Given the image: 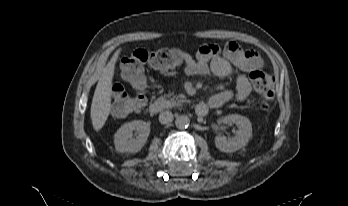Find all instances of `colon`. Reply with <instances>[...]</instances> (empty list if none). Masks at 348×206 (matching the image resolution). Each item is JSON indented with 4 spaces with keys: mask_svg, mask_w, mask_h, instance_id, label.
<instances>
[{
    "mask_svg": "<svg viewBox=\"0 0 348 206\" xmlns=\"http://www.w3.org/2000/svg\"><path fill=\"white\" fill-rule=\"evenodd\" d=\"M216 47L218 51L219 47ZM185 55L176 49H158L148 51L136 49L121 61L123 78L131 85L135 93H128L124 87L116 83L113 89V112L117 115L134 114L145 105V89L147 86L144 68L149 65L159 71H169L184 63ZM249 80L254 90L260 96V106L269 110L272 105L274 77L263 71L254 70L249 74Z\"/></svg>",
    "mask_w": 348,
    "mask_h": 206,
    "instance_id": "1",
    "label": "colon"
}]
</instances>
